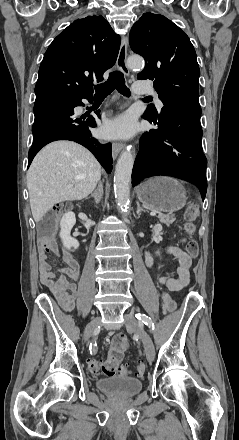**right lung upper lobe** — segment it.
I'll use <instances>...</instances> for the list:
<instances>
[{
  "label": "right lung upper lobe",
  "instance_id": "right-lung-upper-lobe-1",
  "mask_svg": "<svg viewBox=\"0 0 239 440\" xmlns=\"http://www.w3.org/2000/svg\"><path fill=\"white\" fill-rule=\"evenodd\" d=\"M120 37L102 16L75 20L50 44L39 68L36 97L93 93L92 81L116 62Z\"/></svg>",
  "mask_w": 239,
  "mask_h": 440
}]
</instances>
